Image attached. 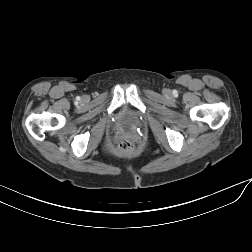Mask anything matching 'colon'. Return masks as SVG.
<instances>
[{"instance_id":"obj_1","label":"colon","mask_w":252,"mask_h":252,"mask_svg":"<svg viewBox=\"0 0 252 252\" xmlns=\"http://www.w3.org/2000/svg\"><path fill=\"white\" fill-rule=\"evenodd\" d=\"M117 152L121 155H132L136 150L134 142L130 139H121L117 144Z\"/></svg>"}]
</instances>
